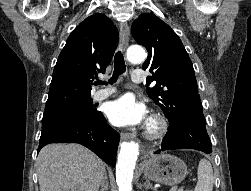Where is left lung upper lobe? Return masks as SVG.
Listing matches in <instances>:
<instances>
[{"label":"left lung upper lobe","mask_w":251,"mask_h":191,"mask_svg":"<svg viewBox=\"0 0 251 191\" xmlns=\"http://www.w3.org/2000/svg\"><path fill=\"white\" fill-rule=\"evenodd\" d=\"M136 42L148 51L142 68L153 72L147 78L148 96L158 104L169 120V129L197 119L206 123L198 94L192 62L177 34L152 13L140 15L132 24Z\"/></svg>","instance_id":"left-lung-upper-lobe-1"}]
</instances>
